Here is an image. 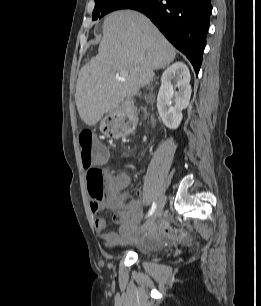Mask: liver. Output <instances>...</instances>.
<instances>
[{
	"label": "liver",
	"instance_id": "1",
	"mask_svg": "<svg viewBox=\"0 0 261 306\" xmlns=\"http://www.w3.org/2000/svg\"><path fill=\"white\" fill-rule=\"evenodd\" d=\"M176 57V49L143 14L133 10L110 13L103 24L98 54L79 72L75 101L80 118L95 125L125 98L137 95ZM127 72L125 82L117 79Z\"/></svg>",
	"mask_w": 261,
	"mask_h": 306
}]
</instances>
